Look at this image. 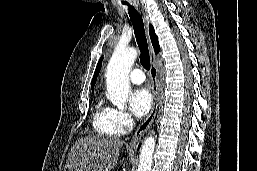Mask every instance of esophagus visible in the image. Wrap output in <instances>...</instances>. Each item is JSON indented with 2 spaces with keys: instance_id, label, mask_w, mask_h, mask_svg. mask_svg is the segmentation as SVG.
I'll return each mask as SVG.
<instances>
[{
  "instance_id": "34e87169",
  "label": "esophagus",
  "mask_w": 257,
  "mask_h": 171,
  "mask_svg": "<svg viewBox=\"0 0 257 171\" xmlns=\"http://www.w3.org/2000/svg\"><path fill=\"white\" fill-rule=\"evenodd\" d=\"M144 21L146 23V26H148V21L147 18L144 15ZM150 49V59H151V69H150V75H151V80H152V92H153V103L151 110L146 117V119L141 123V125L138 127L136 132L133 135V138L130 142V147L135 148L138 142L141 140L143 135L146 133V131L149 129L151 126L152 122L154 121V118L156 116L157 110H158V105H159V84H158V69L155 65L156 62V56L153 51V48L150 44L149 46Z\"/></svg>"
}]
</instances>
